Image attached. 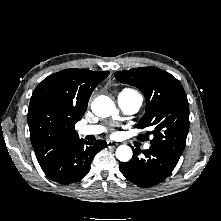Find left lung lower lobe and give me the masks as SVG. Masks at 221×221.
I'll use <instances>...</instances> for the list:
<instances>
[{
    "mask_svg": "<svg viewBox=\"0 0 221 221\" xmlns=\"http://www.w3.org/2000/svg\"><path fill=\"white\" fill-rule=\"evenodd\" d=\"M140 151L134 149L132 159L120 163L121 173L131 182L140 187H150L166 179L178 163L180 155L165 148L151 146L144 150L145 157H139Z\"/></svg>",
    "mask_w": 221,
    "mask_h": 221,
    "instance_id": "left-lung-lower-lobe-1",
    "label": "left lung lower lobe"
}]
</instances>
